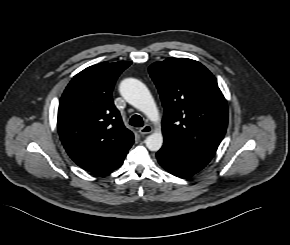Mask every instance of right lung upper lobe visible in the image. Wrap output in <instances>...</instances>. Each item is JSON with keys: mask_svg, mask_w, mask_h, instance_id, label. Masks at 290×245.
<instances>
[{"mask_svg": "<svg viewBox=\"0 0 290 245\" xmlns=\"http://www.w3.org/2000/svg\"><path fill=\"white\" fill-rule=\"evenodd\" d=\"M131 65L128 61L102 62L73 77L59 104L57 127L71 159L95 174L120 167L133 144L114 106L112 90L118 76Z\"/></svg>", "mask_w": 290, "mask_h": 245, "instance_id": "obj_1", "label": "right lung upper lobe"}]
</instances>
